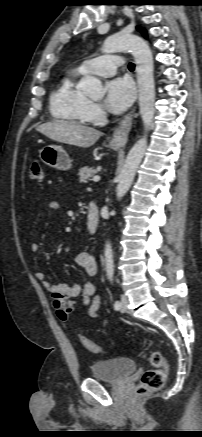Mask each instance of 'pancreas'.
<instances>
[{
    "mask_svg": "<svg viewBox=\"0 0 202 437\" xmlns=\"http://www.w3.org/2000/svg\"><path fill=\"white\" fill-rule=\"evenodd\" d=\"M97 173L93 167L85 166L79 170V179L81 183H87L90 177Z\"/></svg>",
    "mask_w": 202,
    "mask_h": 437,
    "instance_id": "1",
    "label": "pancreas"
}]
</instances>
